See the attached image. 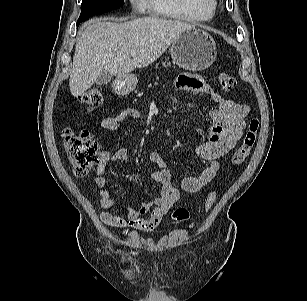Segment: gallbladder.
Wrapping results in <instances>:
<instances>
[{"label":"gallbladder","mask_w":307,"mask_h":301,"mask_svg":"<svg viewBox=\"0 0 307 301\" xmlns=\"http://www.w3.org/2000/svg\"><path fill=\"white\" fill-rule=\"evenodd\" d=\"M112 75L108 72H103L99 77L96 79V84L99 86L106 85L110 82Z\"/></svg>","instance_id":"obj_1"}]
</instances>
